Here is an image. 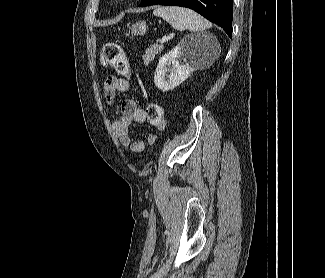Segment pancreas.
Masks as SVG:
<instances>
[{"mask_svg":"<svg viewBox=\"0 0 325 278\" xmlns=\"http://www.w3.org/2000/svg\"><path fill=\"white\" fill-rule=\"evenodd\" d=\"M162 50H163V46L158 45V44H154V45H151L150 47H148L145 50L144 55L142 56L144 63L147 65L150 62H152L154 60L155 56L158 55L159 53H161Z\"/></svg>","mask_w":325,"mask_h":278,"instance_id":"cf45deb5","label":"pancreas"}]
</instances>
